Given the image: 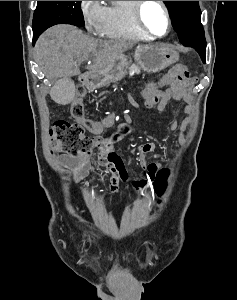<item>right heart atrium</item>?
Instances as JSON below:
<instances>
[{"label":"right heart atrium","instance_id":"obj_1","mask_svg":"<svg viewBox=\"0 0 237 300\" xmlns=\"http://www.w3.org/2000/svg\"><path fill=\"white\" fill-rule=\"evenodd\" d=\"M80 10L86 28L91 32H102L106 17V6L101 1H80Z\"/></svg>","mask_w":237,"mask_h":300}]
</instances>
